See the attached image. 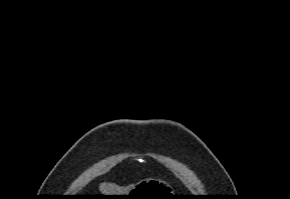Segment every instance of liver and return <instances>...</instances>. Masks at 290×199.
Segmentation results:
<instances>
[{
	"label": "liver",
	"instance_id": "1",
	"mask_svg": "<svg viewBox=\"0 0 290 199\" xmlns=\"http://www.w3.org/2000/svg\"><path fill=\"white\" fill-rule=\"evenodd\" d=\"M100 190L102 193L109 195V193H121V189L114 184L102 183L100 185Z\"/></svg>",
	"mask_w": 290,
	"mask_h": 199
}]
</instances>
